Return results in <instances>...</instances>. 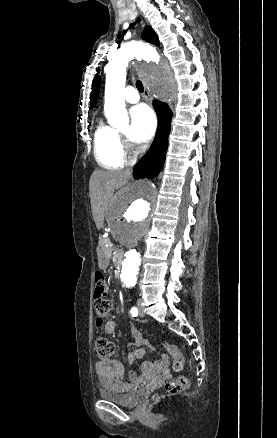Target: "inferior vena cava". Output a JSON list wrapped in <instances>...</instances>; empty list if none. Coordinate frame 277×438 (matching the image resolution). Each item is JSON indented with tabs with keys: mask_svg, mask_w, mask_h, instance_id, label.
I'll return each mask as SVG.
<instances>
[{
	"mask_svg": "<svg viewBox=\"0 0 277 438\" xmlns=\"http://www.w3.org/2000/svg\"><path fill=\"white\" fill-rule=\"evenodd\" d=\"M132 172H133L132 168H127V170H125L126 176H132Z\"/></svg>",
	"mask_w": 277,
	"mask_h": 438,
	"instance_id": "inferior-vena-cava-1",
	"label": "inferior vena cava"
}]
</instances>
